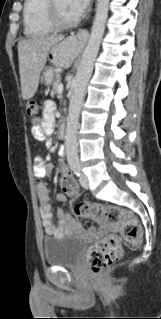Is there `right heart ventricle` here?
Masks as SVG:
<instances>
[{"label": "right heart ventricle", "mask_w": 161, "mask_h": 319, "mask_svg": "<svg viewBox=\"0 0 161 319\" xmlns=\"http://www.w3.org/2000/svg\"><path fill=\"white\" fill-rule=\"evenodd\" d=\"M47 0H26L23 14V31L26 38H41L50 34L53 27L46 14Z\"/></svg>", "instance_id": "right-heart-ventricle-1"}]
</instances>
